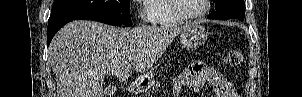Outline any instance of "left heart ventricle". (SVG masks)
<instances>
[{"mask_svg":"<svg viewBox=\"0 0 302 97\" xmlns=\"http://www.w3.org/2000/svg\"><path fill=\"white\" fill-rule=\"evenodd\" d=\"M180 10L187 15L200 12L204 7L203 0H178Z\"/></svg>","mask_w":302,"mask_h":97,"instance_id":"b2bd125f","label":"left heart ventricle"}]
</instances>
